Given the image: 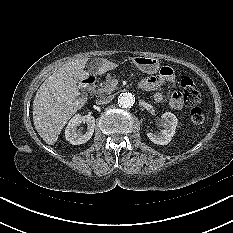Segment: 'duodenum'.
I'll use <instances>...</instances> for the list:
<instances>
[{
  "label": "duodenum",
  "mask_w": 233,
  "mask_h": 233,
  "mask_svg": "<svg viewBox=\"0 0 233 233\" xmlns=\"http://www.w3.org/2000/svg\"><path fill=\"white\" fill-rule=\"evenodd\" d=\"M85 88L87 92L92 95L95 90V84H96V77L93 75H89L84 80ZM139 88L143 89L142 83L140 82L138 84Z\"/></svg>",
  "instance_id": "410a0bca"
}]
</instances>
